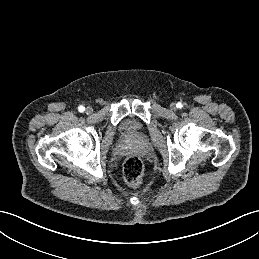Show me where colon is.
Returning a JSON list of instances; mask_svg holds the SVG:
<instances>
[{
  "mask_svg": "<svg viewBox=\"0 0 259 259\" xmlns=\"http://www.w3.org/2000/svg\"><path fill=\"white\" fill-rule=\"evenodd\" d=\"M144 166L137 156L128 157L123 165V177L130 186H138L142 183Z\"/></svg>",
  "mask_w": 259,
  "mask_h": 259,
  "instance_id": "1",
  "label": "colon"
}]
</instances>
